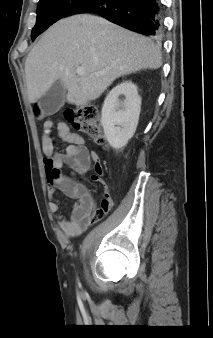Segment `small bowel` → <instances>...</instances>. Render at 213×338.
<instances>
[{"instance_id": "obj_1", "label": "small bowel", "mask_w": 213, "mask_h": 338, "mask_svg": "<svg viewBox=\"0 0 213 338\" xmlns=\"http://www.w3.org/2000/svg\"><path fill=\"white\" fill-rule=\"evenodd\" d=\"M56 130L57 137L67 143L64 153L57 152L54 146V137L52 131ZM42 146L44 152L43 166L45 174L51 161L59 168L68 166L79 174H85L94 163L95 169L101 170L99 157L95 152H90L84 144V139L78 133L70 130L64 122L56 125L50 120L43 124ZM47 188L50 197H54L58 191L62 192L66 197L74 200L72 212L69 218L59 214V204L52 201L49 205L50 211L55 214L59 228L68 236H77L90 224L96 221L93 211L94 197L89 189L81 182L61 175L54 181H50L47 174ZM113 205L112 198L106 194L104 197ZM103 199V200H104Z\"/></svg>"}]
</instances>
